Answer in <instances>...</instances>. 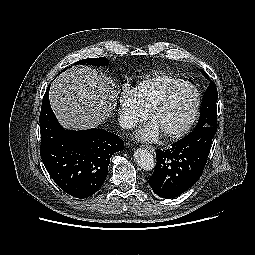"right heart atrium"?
I'll return each instance as SVG.
<instances>
[{"label": "right heart atrium", "mask_w": 255, "mask_h": 255, "mask_svg": "<svg viewBox=\"0 0 255 255\" xmlns=\"http://www.w3.org/2000/svg\"><path fill=\"white\" fill-rule=\"evenodd\" d=\"M119 122L123 128L132 129L147 119V112L135 97L133 90L123 87L119 97Z\"/></svg>", "instance_id": "right-heart-atrium-1"}]
</instances>
